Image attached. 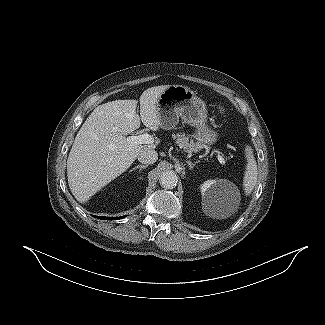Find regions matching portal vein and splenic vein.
<instances>
[{
	"label": "portal vein and splenic vein",
	"instance_id": "portal-vein-and-splenic-vein-1",
	"mask_svg": "<svg viewBox=\"0 0 325 325\" xmlns=\"http://www.w3.org/2000/svg\"><path fill=\"white\" fill-rule=\"evenodd\" d=\"M126 140L130 144H153L154 143V138L148 133H144L137 136H129L127 137ZM216 157L222 165L225 164V160L220 154H216Z\"/></svg>",
	"mask_w": 325,
	"mask_h": 325
}]
</instances>
